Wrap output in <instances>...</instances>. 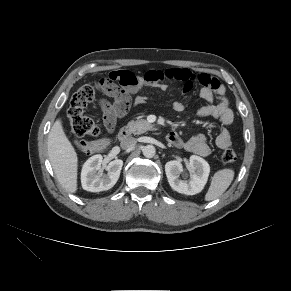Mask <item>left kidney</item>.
Returning a JSON list of instances; mask_svg holds the SVG:
<instances>
[{
    "label": "left kidney",
    "instance_id": "1",
    "mask_svg": "<svg viewBox=\"0 0 291 291\" xmlns=\"http://www.w3.org/2000/svg\"><path fill=\"white\" fill-rule=\"evenodd\" d=\"M189 161L191 178L188 181L179 179L183 166L177 160L167 162L165 164V172L173 190L185 195H195L200 193L207 183L210 166L203 158L196 155H192Z\"/></svg>",
    "mask_w": 291,
    "mask_h": 291
}]
</instances>
